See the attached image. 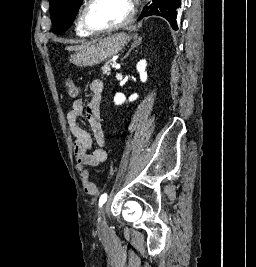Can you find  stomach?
I'll list each match as a JSON object with an SVG mask.
<instances>
[{"mask_svg":"<svg viewBox=\"0 0 256 267\" xmlns=\"http://www.w3.org/2000/svg\"><path fill=\"white\" fill-rule=\"evenodd\" d=\"M131 36L126 32H118V34H110L106 38H100L97 44L85 46L80 52H76L71 56V64L75 66H96L104 60L116 56L125 44H128Z\"/></svg>","mask_w":256,"mask_h":267,"instance_id":"obj_1","label":"stomach"}]
</instances>
